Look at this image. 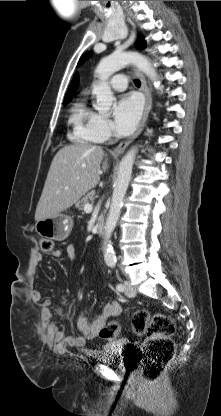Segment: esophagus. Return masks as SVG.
<instances>
[{
    "label": "esophagus",
    "instance_id": "34e87169",
    "mask_svg": "<svg viewBox=\"0 0 221 416\" xmlns=\"http://www.w3.org/2000/svg\"><path fill=\"white\" fill-rule=\"evenodd\" d=\"M135 74L139 77L140 81H141V90L145 95V109H144V113L141 119V122L138 126L137 131L127 140L122 141L114 150H113V155H120L122 154L125 149L129 146L130 143H132L142 132L145 123L147 121L148 115H149V111H150V104H151V96H150V92L146 83V79L144 77V75L136 68H133Z\"/></svg>",
    "mask_w": 221,
    "mask_h": 416
}]
</instances>
